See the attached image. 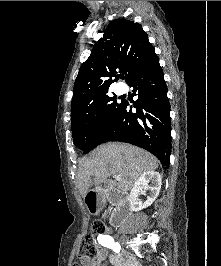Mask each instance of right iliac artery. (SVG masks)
<instances>
[{
    "mask_svg": "<svg viewBox=\"0 0 221 266\" xmlns=\"http://www.w3.org/2000/svg\"><path fill=\"white\" fill-rule=\"evenodd\" d=\"M99 243L107 248H111L116 253L120 252L121 246L119 243L115 242L114 239L109 235H99L97 238Z\"/></svg>",
    "mask_w": 221,
    "mask_h": 266,
    "instance_id": "82829eb1",
    "label": "right iliac artery"
}]
</instances>
